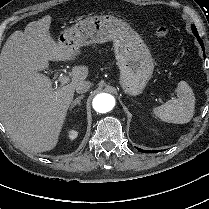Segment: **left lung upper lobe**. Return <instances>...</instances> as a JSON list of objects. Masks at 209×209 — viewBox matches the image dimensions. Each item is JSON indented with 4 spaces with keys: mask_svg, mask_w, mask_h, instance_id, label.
Wrapping results in <instances>:
<instances>
[{
    "mask_svg": "<svg viewBox=\"0 0 209 209\" xmlns=\"http://www.w3.org/2000/svg\"><path fill=\"white\" fill-rule=\"evenodd\" d=\"M195 26L194 25H192V27L191 28H194ZM196 28V27H195Z\"/></svg>",
    "mask_w": 209,
    "mask_h": 209,
    "instance_id": "left-lung-upper-lobe-1",
    "label": "left lung upper lobe"
}]
</instances>
